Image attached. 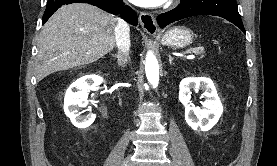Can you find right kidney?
<instances>
[{
  "label": "right kidney",
  "instance_id": "obj_1",
  "mask_svg": "<svg viewBox=\"0 0 277 166\" xmlns=\"http://www.w3.org/2000/svg\"><path fill=\"white\" fill-rule=\"evenodd\" d=\"M103 79L97 75L81 77L71 84L64 97V111L72 124L78 128H87L95 120V115L82 116L79 107L87 105V92L100 85Z\"/></svg>",
  "mask_w": 277,
  "mask_h": 166
}]
</instances>
